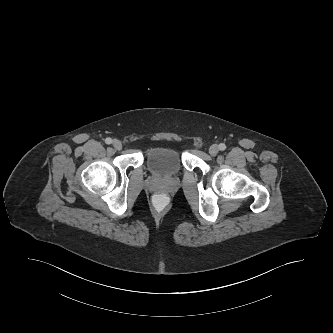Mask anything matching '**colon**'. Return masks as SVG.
I'll use <instances>...</instances> for the list:
<instances>
[{"instance_id":"1","label":"colon","mask_w":333,"mask_h":333,"mask_svg":"<svg viewBox=\"0 0 333 333\" xmlns=\"http://www.w3.org/2000/svg\"><path fill=\"white\" fill-rule=\"evenodd\" d=\"M169 201V196L163 191H158L153 195L152 206L156 210H163L166 208Z\"/></svg>"}]
</instances>
